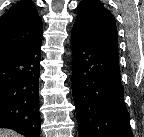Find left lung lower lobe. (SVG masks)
Segmentation results:
<instances>
[{
	"label": "left lung lower lobe",
	"mask_w": 144,
	"mask_h": 137,
	"mask_svg": "<svg viewBox=\"0 0 144 137\" xmlns=\"http://www.w3.org/2000/svg\"><path fill=\"white\" fill-rule=\"evenodd\" d=\"M72 93L80 137H133L124 104L119 54L73 28Z\"/></svg>",
	"instance_id": "1"
}]
</instances>
